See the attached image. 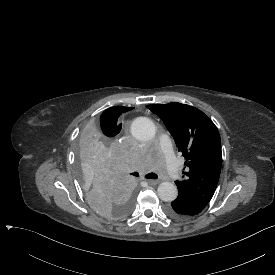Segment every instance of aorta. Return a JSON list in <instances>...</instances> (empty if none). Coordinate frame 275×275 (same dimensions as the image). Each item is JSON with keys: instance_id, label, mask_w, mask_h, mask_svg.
Wrapping results in <instances>:
<instances>
[{"instance_id": "aorta-1", "label": "aorta", "mask_w": 275, "mask_h": 275, "mask_svg": "<svg viewBox=\"0 0 275 275\" xmlns=\"http://www.w3.org/2000/svg\"><path fill=\"white\" fill-rule=\"evenodd\" d=\"M133 137L140 141H148L154 138L156 128L152 120L147 117H137L131 125ZM158 196L164 202H171L177 198V187L171 182H162L159 184Z\"/></svg>"}]
</instances>
